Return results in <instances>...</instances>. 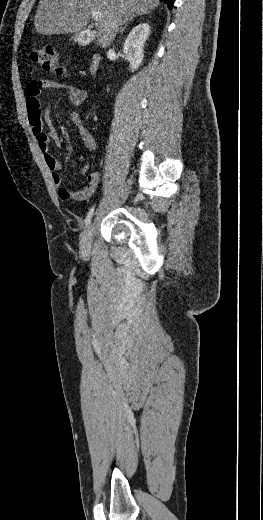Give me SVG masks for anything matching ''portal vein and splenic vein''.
Returning a JSON list of instances; mask_svg holds the SVG:
<instances>
[{
    "mask_svg": "<svg viewBox=\"0 0 263 520\" xmlns=\"http://www.w3.org/2000/svg\"><path fill=\"white\" fill-rule=\"evenodd\" d=\"M92 18L95 20V21H100L101 18H102V14L100 12H94L92 13Z\"/></svg>",
    "mask_w": 263,
    "mask_h": 520,
    "instance_id": "18ae733b",
    "label": "portal vein and splenic vein"
}]
</instances>
